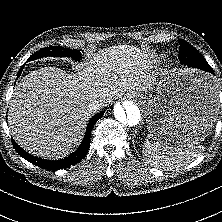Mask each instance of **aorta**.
I'll list each match as a JSON object with an SVG mask.
<instances>
[{"label":"aorta","mask_w":222,"mask_h":222,"mask_svg":"<svg viewBox=\"0 0 222 222\" xmlns=\"http://www.w3.org/2000/svg\"><path fill=\"white\" fill-rule=\"evenodd\" d=\"M113 115L122 126L133 127L141 121L140 107L132 100H126L122 104L117 103L114 106Z\"/></svg>","instance_id":"1"}]
</instances>
